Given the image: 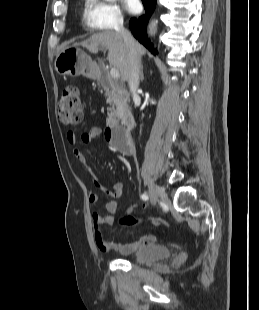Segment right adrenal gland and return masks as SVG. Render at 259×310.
<instances>
[{
  "instance_id": "obj_1",
  "label": "right adrenal gland",
  "mask_w": 259,
  "mask_h": 310,
  "mask_svg": "<svg viewBox=\"0 0 259 310\" xmlns=\"http://www.w3.org/2000/svg\"><path fill=\"white\" fill-rule=\"evenodd\" d=\"M140 78H141V82H142L144 80L143 66L141 67Z\"/></svg>"
}]
</instances>
